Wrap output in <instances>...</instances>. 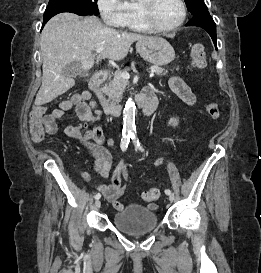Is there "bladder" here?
Listing matches in <instances>:
<instances>
[{
    "mask_svg": "<svg viewBox=\"0 0 261 273\" xmlns=\"http://www.w3.org/2000/svg\"><path fill=\"white\" fill-rule=\"evenodd\" d=\"M112 222L121 231L140 234L153 231L158 224V217L150 207L129 204L113 215Z\"/></svg>",
    "mask_w": 261,
    "mask_h": 273,
    "instance_id": "31cf9c89",
    "label": "bladder"
}]
</instances>
